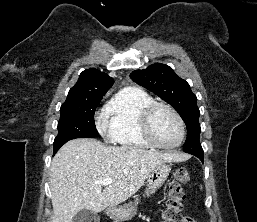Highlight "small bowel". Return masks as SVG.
I'll return each instance as SVG.
<instances>
[{
	"label": "small bowel",
	"mask_w": 257,
	"mask_h": 222,
	"mask_svg": "<svg viewBox=\"0 0 257 222\" xmlns=\"http://www.w3.org/2000/svg\"><path fill=\"white\" fill-rule=\"evenodd\" d=\"M181 222H196V221L189 216H185L182 218Z\"/></svg>",
	"instance_id": "c3829d8e"
}]
</instances>
